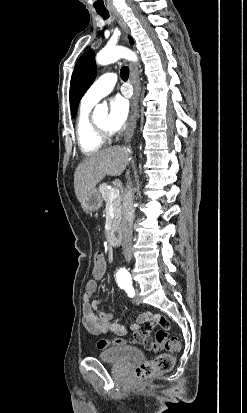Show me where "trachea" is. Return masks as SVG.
<instances>
[{
	"mask_svg": "<svg viewBox=\"0 0 247 413\" xmlns=\"http://www.w3.org/2000/svg\"><path fill=\"white\" fill-rule=\"evenodd\" d=\"M97 13H98V15L103 17L104 20H106L109 17L108 11H97ZM128 77H129V68L123 66L121 68V78H122V80H124V82H126L128 80Z\"/></svg>",
	"mask_w": 247,
	"mask_h": 413,
	"instance_id": "trachea-1",
	"label": "trachea"
}]
</instances>
